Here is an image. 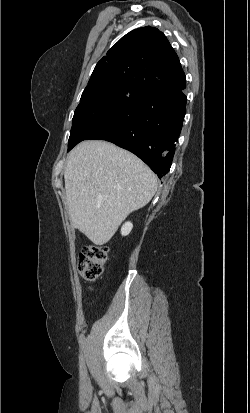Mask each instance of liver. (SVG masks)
Here are the masks:
<instances>
[{
  "mask_svg": "<svg viewBox=\"0 0 250 413\" xmlns=\"http://www.w3.org/2000/svg\"><path fill=\"white\" fill-rule=\"evenodd\" d=\"M70 221L95 245L107 243L157 190V177L137 156L110 142L83 141L64 171Z\"/></svg>",
  "mask_w": 250,
  "mask_h": 413,
  "instance_id": "obj_1",
  "label": "liver"
}]
</instances>
